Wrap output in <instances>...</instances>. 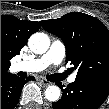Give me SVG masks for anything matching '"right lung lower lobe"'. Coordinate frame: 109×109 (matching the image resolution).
<instances>
[{"instance_id": "right-lung-lower-lobe-1", "label": "right lung lower lobe", "mask_w": 109, "mask_h": 109, "mask_svg": "<svg viewBox=\"0 0 109 109\" xmlns=\"http://www.w3.org/2000/svg\"><path fill=\"white\" fill-rule=\"evenodd\" d=\"M29 80H34V77L30 76L27 79H22L10 73L1 76V109L15 108L19 101L22 87Z\"/></svg>"}]
</instances>
